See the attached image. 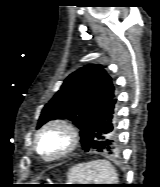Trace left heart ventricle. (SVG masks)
Returning <instances> with one entry per match:
<instances>
[{
    "instance_id": "1",
    "label": "left heart ventricle",
    "mask_w": 160,
    "mask_h": 187,
    "mask_svg": "<svg viewBox=\"0 0 160 187\" xmlns=\"http://www.w3.org/2000/svg\"><path fill=\"white\" fill-rule=\"evenodd\" d=\"M65 145V138L63 135L57 133V132H52L48 134L43 141L42 144V150L51 155L57 152L59 149H61Z\"/></svg>"
}]
</instances>
